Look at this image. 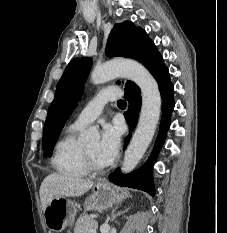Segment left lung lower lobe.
Returning a JSON list of instances; mask_svg holds the SVG:
<instances>
[{
	"mask_svg": "<svg viewBox=\"0 0 227 233\" xmlns=\"http://www.w3.org/2000/svg\"><path fill=\"white\" fill-rule=\"evenodd\" d=\"M159 85V90L162 97V119L160 124V130L153 152L147 162L138 170L123 175L120 169H116L109 175V179L116 185L126 186L135 189L143 190L150 195L154 196L155 188L152 178V166L158 155L159 149L163 144L166 132L170 126V116L174 109V87L170 81L169 71L167 67H164L155 77ZM125 99L129 101V109L125 113L127 124L130 131H132L138 119L139 110L141 108V91L139 88L130 89L125 92ZM131 135H128L124 141V147L128 144Z\"/></svg>",
	"mask_w": 227,
	"mask_h": 233,
	"instance_id": "0a47b994",
	"label": "left lung lower lobe"
}]
</instances>
